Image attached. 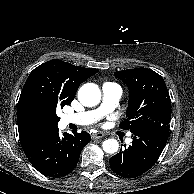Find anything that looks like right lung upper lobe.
<instances>
[{
    "label": "right lung upper lobe",
    "mask_w": 194,
    "mask_h": 194,
    "mask_svg": "<svg viewBox=\"0 0 194 194\" xmlns=\"http://www.w3.org/2000/svg\"><path fill=\"white\" fill-rule=\"evenodd\" d=\"M98 69L83 68L54 59L35 68L27 78L17 106L20 141L28 136L56 128L34 105L33 97L39 91H50L73 100L80 84L96 74Z\"/></svg>",
    "instance_id": "cb5924a9"
}]
</instances>
